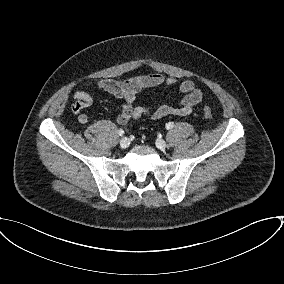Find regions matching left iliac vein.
Listing matches in <instances>:
<instances>
[{"label": "left iliac vein", "mask_w": 284, "mask_h": 284, "mask_svg": "<svg viewBox=\"0 0 284 284\" xmlns=\"http://www.w3.org/2000/svg\"><path fill=\"white\" fill-rule=\"evenodd\" d=\"M156 146L157 148L164 150L166 148V142L163 139H157L156 140Z\"/></svg>", "instance_id": "4c4485c4"}]
</instances>
